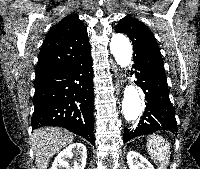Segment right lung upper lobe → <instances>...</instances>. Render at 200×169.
Returning <instances> with one entry per match:
<instances>
[{
  "mask_svg": "<svg viewBox=\"0 0 200 169\" xmlns=\"http://www.w3.org/2000/svg\"><path fill=\"white\" fill-rule=\"evenodd\" d=\"M87 30L77 14L50 28L40 50L36 78L69 68L90 54Z\"/></svg>",
  "mask_w": 200,
  "mask_h": 169,
  "instance_id": "obj_1",
  "label": "right lung upper lobe"
}]
</instances>
